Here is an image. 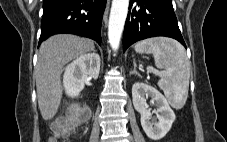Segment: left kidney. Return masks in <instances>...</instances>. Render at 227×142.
<instances>
[{
	"label": "left kidney",
	"mask_w": 227,
	"mask_h": 142,
	"mask_svg": "<svg viewBox=\"0 0 227 142\" xmlns=\"http://www.w3.org/2000/svg\"><path fill=\"white\" fill-rule=\"evenodd\" d=\"M150 97L157 106L156 118L152 119L146 98ZM134 108L141 115V125L146 135L152 140L163 138L171 129L175 113L166 98L154 87L136 82L132 86Z\"/></svg>",
	"instance_id": "5707ae66"
}]
</instances>
